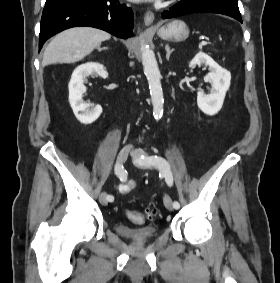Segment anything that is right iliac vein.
<instances>
[{
	"mask_svg": "<svg viewBox=\"0 0 280 283\" xmlns=\"http://www.w3.org/2000/svg\"><path fill=\"white\" fill-rule=\"evenodd\" d=\"M131 151V148L129 146H124L120 151H119V154H118V161L121 162V163H124L127 158H128V155ZM99 202L102 204V205H107L108 203V200H107V193L106 192H102L99 196Z\"/></svg>",
	"mask_w": 280,
	"mask_h": 283,
	"instance_id": "63e3f726",
	"label": "right iliac vein"
}]
</instances>
